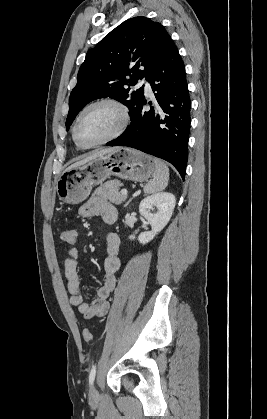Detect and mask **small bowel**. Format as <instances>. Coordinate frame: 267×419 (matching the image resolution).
Here are the masks:
<instances>
[{
    "instance_id": "1",
    "label": "small bowel",
    "mask_w": 267,
    "mask_h": 419,
    "mask_svg": "<svg viewBox=\"0 0 267 419\" xmlns=\"http://www.w3.org/2000/svg\"><path fill=\"white\" fill-rule=\"evenodd\" d=\"M79 214L84 218L100 217L107 225L113 224L117 219L116 208L108 200L100 197H92L86 201L80 207ZM119 248V237L110 233L107 236V257L104 261L103 284L97 289L96 298L90 303L84 300L81 291V277L78 272V249L73 244L67 251L64 267L67 289L70 293L69 301L71 305L78 308L85 319L101 317L108 312V298L116 287V273L121 265L118 257Z\"/></svg>"
}]
</instances>
